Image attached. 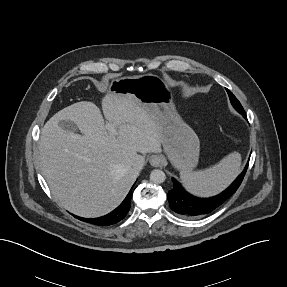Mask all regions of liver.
I'll return each mask as SVG.
<instances>
[{"instance_id": "obj_1", "label": "liver", "mask_w": 287, "mask_h": 287, "mask_svg": "<svg viewBox=\"0 0 287 287\" xmlns=\"http://www.w3.org/2000/svg\"><path fill=\"white\" fill-rule=\"evenodd\" d=\"M102 111L117 135L89 101L60 110L41 130L43 176L58 203L81 217H99L116 208L139 175L132 167L137 153L161 151L160 128L132 96L106 95ZM62 121L73 122L82 134L63 129Z\"/></svg>"}]
</instances>
